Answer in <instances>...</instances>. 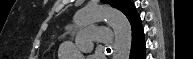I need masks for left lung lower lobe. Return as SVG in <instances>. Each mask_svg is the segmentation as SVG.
I'll return each instance as SVG.
<instances>
[{
  "label": "left lung lower lobe",
  "mask_w": 193,
  "mask_h": 59,
  "mask_svg": "<svg viewBox=\"0 0 193 59\" xmlns=\"http://www.w3.org/2000/svg\"><path fill=\"white\" fill-rule=\"evenodd\" d=\"M128 19L132 26L130 59H145V40L141 19L136 12H134Z\"/></svg>",
  "instance_id": "obj_1"
}]
</instances>
